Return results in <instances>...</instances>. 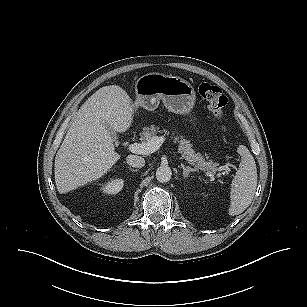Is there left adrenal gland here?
<instances>
[{"mask_svg": "<svg viewBox=\"0 0 307 307\" xmlns=\"http://www.w3.org/2000/svg\"><path fill=\"white\" fill-rule=\"evenodd\" d=\"M181 168L183 169L184 178L188 177L191 172L195 171L194 168H191L189 166L186 167L183 164H181Z\"/></svg>", "mask_w": 307, "mask_h": 307, "instance_id": "left-adrenal-gland-1", "label": "left adrenal gland"}]
</instances>
